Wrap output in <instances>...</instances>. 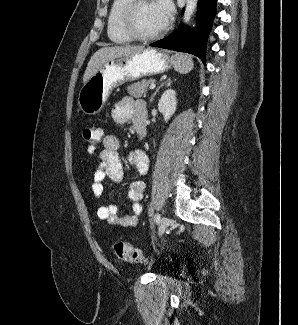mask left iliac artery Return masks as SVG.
<instances>
[{
	"mask_svg": "<svg viewBox=\"0 0 298 325\" xmlns=\"http://www.w3.org/2000/svg\"><path fill=\"white\" fill-rule=\"evenodd\" d=\"M155 222H156L157 224L160 222V214H159V213H157V214L155 215Z\"/></svg>",
	"mask_w": 298,
	"mask_h": 325,
	"instance_id": "44dca946",
	"label": "left iliac artery"
}]
</instances>
